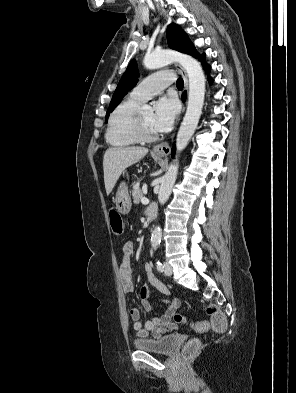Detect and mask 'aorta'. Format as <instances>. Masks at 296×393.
Listing matches in <instances>:
<instances>
[{
	"mask_svg": "<svg viewBox=\"0 0 296 393\" xmlns=\"http://www.w3.org/2000/svg\"><path fill=\"white\" fill-rule=\"evenodd\" d=\"M175 61L179 62L188 74L189 92L186 113L176 138V159L163 176L158 193V201L161 205L166 203L171 194L178 173V154L186 148L197 128L205 96V75L200 63L192 56L171 50H161L147 54L143 63L147 69L152 70L167 66ZM141 110L151 112L152 108L149 105H143ZM161 237V227L156 226L151 235L152 243L158 244Z\"/></svg>",
	"mask_w": 296,
	"mask_h": 393,
	"instance_id": "1",
	"label": "aorta"
}]
</instances>
